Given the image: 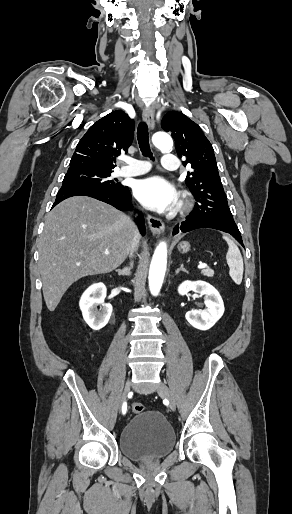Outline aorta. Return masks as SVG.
<instances>
[{"mask_svg": "<svg viewBox=\"0 0 292 514\" xmlns=\"http://www.w3.org/2000/svg\"><path fill=\"white\" fill-rule=\"evenodd\" d=\"M152 142L163 154H168L172 150L173 140L165 132H156L152 136ZM167 264V246L161 242L157 246L149 270V288L153 296H158L163 284Z\"/></svg>", "mask_w": 292, "mask_h": 514, "instance_id": "obj_1", "label": "aorta"}]
</instances>
